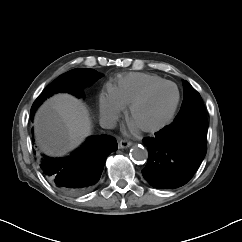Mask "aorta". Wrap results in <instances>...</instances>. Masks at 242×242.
Segmentation results:
<instances>
[{
    "mask_svg": "<svg viewBox=\"0 0 242 242\" xmlns=\"http://www.w3.org/2000/svg\"><path fill=\"white\" fill-rule=\"evenodd\" d=\"M130 155L136 161H145L148 157V152L142 145H134L130 150Z\"/></svg>",
    "mask_w": 242,
    "mask_h": 242,
    "instance_id": "aorta-1",
    "label": "aorta"
}]
</instances>
